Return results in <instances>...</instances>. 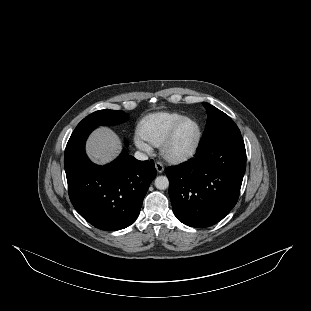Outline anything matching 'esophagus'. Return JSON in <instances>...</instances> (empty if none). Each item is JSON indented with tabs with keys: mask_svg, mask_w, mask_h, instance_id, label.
Segmentation results:
<instances>
[{
	"mask_svg": "<svg viewBox=\"0 0 311 311\" xmlns=\"http://www.w3.org/2000/svg\"><path fill=\"white\" fill-rule=\"evenodd\" d=\"M155 168L159 174H162L165 170L164 165L160 161L155 162Z\"/></svg>",
	"mask_w": 311,
	"mask_h": 311,
	"instance_id": "34e87169",
	"label": "esophagus"
}]
</instances>
